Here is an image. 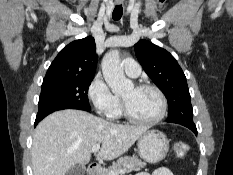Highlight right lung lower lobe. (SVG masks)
Returning <instances> with one entry per match:
<instances>
[{"mask_svg": "<svg viewBox=\"0 0 233 175\" xmlns=\"http://www.w3.org/2000/svg\"><path fill=\"white\" fill-rule=\"evenodd\" d=\"M50 113H52V112H50ZM50 113H48V114H50ZM48 114H45V115H43V116H40V117H36V120H35V126L44 118V117H46Z\"/></svg>", "mask_w": 233, "mask_h": 175, "instance_id": "right-lung-lower-lobe-1", "label": "right lung lower lobe"}]
</instances>
